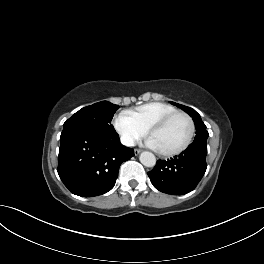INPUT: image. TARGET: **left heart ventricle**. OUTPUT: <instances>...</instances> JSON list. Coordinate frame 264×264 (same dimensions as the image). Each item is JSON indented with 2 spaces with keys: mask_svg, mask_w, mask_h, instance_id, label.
<instances>
[{
  "mask_svg": "<svg viewBox=\"0 0 264 264\" xmlns=\"http://www.w3.org/2000/svg\"><path fill=\"white\" fill-rule=\"evenodd\" d=\"M190 126L184 117L172 119L163 129L155 132L151 138L157 144L158 150L168 151L182 145L188 134Z\"/></svg>",
  "mask_w": 264,
  "mask_h": 264,
  "instance_id": "1",
  "label": "left heart ventricle"
}]
</instances>
